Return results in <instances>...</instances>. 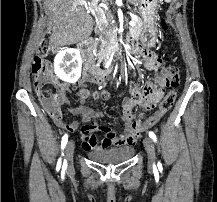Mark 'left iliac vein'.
<instances>
[{
  "instance_id": "4c4485c4",
  "label": "left iliac vein",
  "mask_w": 217,
  "mask_h": 202,
  "mask_svg": "<svg viewBox=\"0 0 217 202\" xmlns=\"http://www.w3.org/2000/svg\"><path fill=\"white\" fill-rule=\"evenodd\" d=\"M144 147L147 152L149 166L152 167L155 164V146L151 138L146 137L144 139Z\"/></svg>"
}]
</instances>
